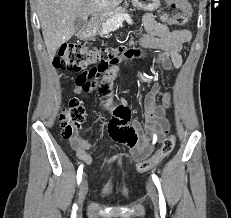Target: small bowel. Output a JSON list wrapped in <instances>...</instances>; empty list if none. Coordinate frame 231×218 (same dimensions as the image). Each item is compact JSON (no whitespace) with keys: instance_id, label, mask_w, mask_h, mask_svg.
I'll return each mask as SVG.
<instances>
[{"instance_id":"small-bowel-1","label":"small bowel","mask_w":231,"mask_h":218,"mask_svg":"<svg viewBox=\"0 0 231 218\" xmlns=\"http://www.w3.org/2000/svg\"><path fill=\"white\" fill-rule=\"evenodd\" d=\"M169 18L168 14H163L160 16V20L157 21L153 14L148 13L143 19L146 33L140 39L141 45L161 51L155 58L153 70L157 67H162L166 70L179 69L182 65L180 51L183 45L191 39V33L188 30L171 31L167 25ZM120 60L121 57L117 56L116 60H104L101 65L92 66V69H81V74L75 80L76 91L87 92L95 86L96 82L93 81L102 78L99 85L100 90L113 114L108 123V132L115 140L124 143L130 148L128 152H118L109 157L104 163L105 166L112 165L122 159L144 158L154 146L152 145V139L143 134L137 122L127 125L130 111L124 97L119 96L118 104L111 102L114 95L112 80L120 72L119 69H113V67L114 65H119ZM131 60L135 61L136 57L132 56ZM140 61L147 63L146 59H141ZM137 63L139 64L140 62L138 61ZM158 97H161L162 104H158ZM169 107L170 95L161 92L159 83L155 81L144 99L145 128L153 136L154 132H159V137H161L168 131L169 121L165 117V111ZM71 147L75 150L79 159L87 164L92 163V157L88 153L91 149V144L78 133L71 140Z\"/></svg>"}]
</instances>
